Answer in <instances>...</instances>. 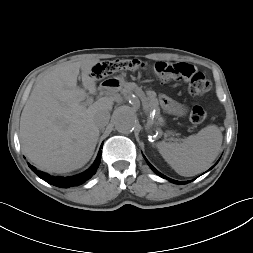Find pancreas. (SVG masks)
<instances>
[{"label":"pancreas","mask_w":253,"mask_h":253,"mask_svg":"<svg viewBox=\"0 0 253 253\" xmlns=\"http://www.w3.org/2000/svg\"><path fill=\"white\" fill-rule=\"evenodd\" d=\"M132 91L136 92L140 98L143 100V102L147 103L148 106V112L152 110H156L157 112L159 111V103L158 99L156 98V93L154 91H146L144 93L142 91V88L137 86L135 83H126L121 91L123 95L130 94Z\"/></svg>","instance_id":"cf45deb5"}]
</instances>
